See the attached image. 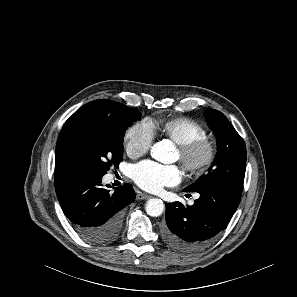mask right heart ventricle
<instances>
[{"instance_id":"1","label":"right heart ventricle","mask_w":297,"mask_h":297,"mask_svg":"<svg viewBox=\"0 0 297 297\" xmlns=\"http://www.w3.org/2000/svg\"><path fill=\"white\" fill-rule=\"evenodd\" d=\"M149 123L153 132L160 133L177 145L186 144L208 135L206 127L188 117H174Z\"/></svg>"}]
</instances>
